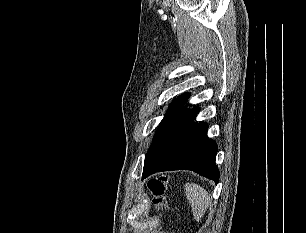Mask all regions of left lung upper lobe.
I'll use <instances>...</instances> for the list:
<instances>
[{
  "label": "left lung upper lobe",
  "mask_w": 306,
  "mask_h": 233,
  "mask_svg": "<svg viewBox=\"0 0 306 233\" xmlns=\"http://www.w3.org/2000/svg\"><path fill=\"white\" fill-rule=\"evenodd\" d=\"M189 97V93L183 94L175 99L169 107L168 113L165 115L163 120L160 123L158 130L156 131L152 145L146 155L147 156L151 153L154 147L157 145L159 140L177 123L179 122L184 116H186L191 110L182 108L187 98ZM145 158V159H146Z\"/></svg>",
  "instance_id": "left-lung-upper-lobe-1"
}]
</instances>
